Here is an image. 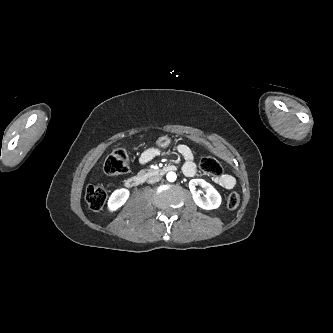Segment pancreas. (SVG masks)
Instances as JSON below:
<instances>
[{
    "label": "pancreas",
    "mask_w": 333,
    "mask_h": 333,
    "mask_svg": "<svg viewBox=\"0 0 333 333\" xmlns=\"http://www.w3.org/2000/svg\"><path fill=\"white\" fill-rule=\"evenodd\" d=\"M146 173H147L146 170H141V171L138 173V175H139V176H143V175H145Z\"/></svg>",
    "instance_id": "1"
}]
</instances>
